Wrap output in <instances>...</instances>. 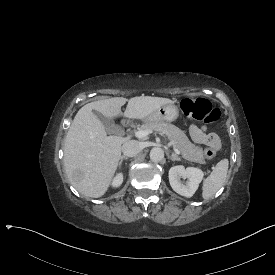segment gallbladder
Here are the masks:
<instances>
[{"label": "gallbladder", "instance_id": "bac80fb5", "mask_svg": "<svg viewBox=\"0 0 275 275\" xmlns=\"http://www.w3.org/2000/svg\"><path fill=\"white\" fill-rule=\"evenodd\" d=\"M93 113L101 120L108 134H115L121 131V127L116 125L112 118H107L98 111H93Z\"/></svg>", "mask_w": 275, "mask_h": 275}]
</instances>
